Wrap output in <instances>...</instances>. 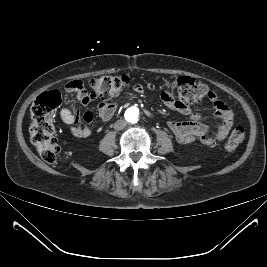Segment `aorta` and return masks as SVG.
<instances>
[{
    "label": "aorta",
    "mask_w": 267,
    "mask_h": 267,
    "mask_svg": "<svg viewBox=\"0 0 267 267\" xmlns=\"http://www.w3.org/2000/svg\"><path fill=\"white\" fill-rule=\"evenodd\" d=\"M125 118L130 123H136L139 118V110L137 108H129L125 112Z\"/></svg>",
    "instance_id": "762f6f07"
}]
</instances>
